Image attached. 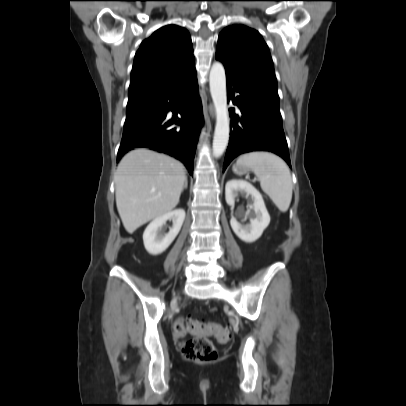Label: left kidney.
Wrapping results in <instances>:
<instances>
[{
    "label": "left kidney",
    "mask_w": 406,
    "mask_h": 406,
    "mask_svg": "<svg viewBox=\"0 0 406 406\" xmlns=\"http://www.w3.org/2000/svg\"><path fill=\"white\" fill-rule=\"evenodd\" d=\"M239 195L250 196L253 204L249 205L251 211L247 213L250 224H240L234 216L231 217L230 225L234 233L244 242L252 243L259 239L263 231L270 223V216L266 209L260 192L245 180H230L225 186V199L229 206L235 205V199Z\"/></svg>",
    "instance_id": "left-kidney-1"
}]
</instances>
